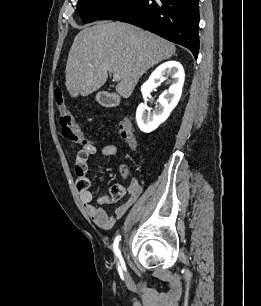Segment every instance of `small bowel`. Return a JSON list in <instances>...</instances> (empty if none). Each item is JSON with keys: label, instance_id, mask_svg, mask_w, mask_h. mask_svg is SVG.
Segmentation results:
<instances>
[{"label": "small bowel", "instance_id": "small-bowel-1", "mask_svg": "<svg viewBox=\"0 0 261 306\" xmlns=\"http://www.w3.org/2000/svg\"><path fill=\"white\" fill-rule=\"evenodd\" d=\"M94 153H95V148L93 146V152L91 155H93ZM118 153L119 149L115 145L110 144L102 148V154L105 156H115ZM88 158L86 159L77 158L76 161L75 171L77 175V183L80 181H86L89 184L87 188L79 189V198L83 203L88 215L93 220V222L98 227L105 230H109L114 226L115 222L119 220L126 213V211L137 201V199L139 198L142 192V187L136 179H132L126 187L122 185L113 186L120 188L122 190V196L127 193L128 198L123 204L118 206L112 214H108L107 211L103 209L101 206L92 203L93 194L90 190V180L87 176ZM99 204L101 203L99 202Z\"/></svg>", "mask_w": 261, "mask_h": 306}]
</instances>
